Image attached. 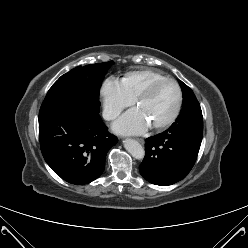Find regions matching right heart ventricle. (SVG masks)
Wrapping results in <instances>:
<instances>
[{"mask_svg":"<svg viewBox=\"0 0 248 248\" xmlns=\"http://www.w3.org/2000/svg\"><path fill=\"white\" fill-rule=\"evenodd\" d=\"M161 73L151 70H137L125 74L121 83L127 94L134 100L151 82L164 78Z\"/></svg>","mask_w":248,"mask_h":248,"instance_id":"obj_1","label":"right heart ventricle"}]
</instances>
